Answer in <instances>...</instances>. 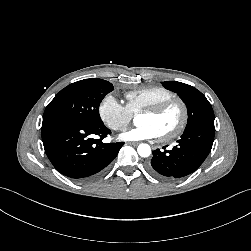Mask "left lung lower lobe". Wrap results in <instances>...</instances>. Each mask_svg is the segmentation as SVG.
<instances>
[{"mask_svg": "<svg viewBox=\"0 0 251 251\" xmlns=\"http://www.w3.org/2000/svg\"><path fill=\"white\" fill-rule=\"evenodd\" d=\"M214 128L196 126L184 131L178 145L171 150H154L149 172L155 177L174 181L197 170L211 151Z\"/></svg>", "mask_w": 251, "mask_h": 251, "instance_id": "left-lung-lower-lobe-1", "label": "left lung lower lobe"}]
</instances>
